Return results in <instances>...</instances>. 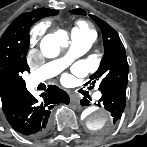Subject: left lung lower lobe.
I'll return each mask as SVG.
<instances>
[{
  "mask_svg": "<svg viewBox=\"0 0 147 147\" xmlns=\"http://www.w3.org/2000/svg\"><path fill=\"white\" fill-rule=\"evenodd\" d=\"M102 97L98 106L104 107L112 115V124H116L121 118L126 105V86L114 85L101 91ZM89 101L86 98L81 100L82 106H87Z\"/></svg>",
  "mask_w": 147,
  "mask_h": 147,
  "instance_id": "obj_1",
  "label": "left lung lower lobe"
}]
</instances>
